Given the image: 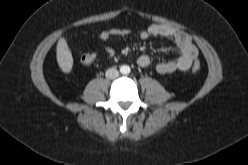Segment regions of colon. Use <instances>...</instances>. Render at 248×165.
I'll use <instances>...</instances> for the list:
<instances>
[{
    "label": "colon",
    "mask_w": 248,
    "mask_h": 165,
    "mask_svg": "<svg viewBox=\"0 0 248 165\" xmlns=\"http://www.w3.org/2000/svg\"><path fill=\"white\" fill-rule=\"evenodd\" d=\"M94 59H95V57H94L93 54L87 53V54H84V55L81 57V62H82V64H84V65H90V64L93 63ZM200 68H201L200 63H199V62H195L194 65H193V67H192V71H193L194 73H197V72L200 70Z\"/></svg>",
    "instance_id": "obj_1"
}]
</instances>
